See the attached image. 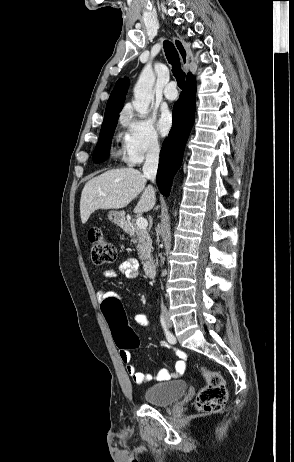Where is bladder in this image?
I'll return each instance as SVG.
<instances>
[{"label":"bladder","instance_id":"bladder-1","mask_svg":"<svg viewBox=\"0 0 294 462\" xmlns=\"http://www.w3.org/2000/svg\"><path fill=\"white\" fill-rule=\"evenodd\" d=\"M188 390L184 380L156 383L144 392L146 403L155 406H168L177 402Z\"/></svg>","mask_w":294,"mask_h":462}]
</instances>
